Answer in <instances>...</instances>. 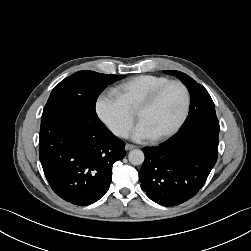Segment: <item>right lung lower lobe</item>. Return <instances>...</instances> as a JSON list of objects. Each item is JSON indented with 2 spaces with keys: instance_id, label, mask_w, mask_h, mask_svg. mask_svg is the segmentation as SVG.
<instances>
[{
  "instance_id": "1",
  "label": "right lung lower lobe",
  "mask_w": 251,
  "mask_h": 251,
  "mask_svg": "<svg viewBox=\"0 0 251 251\" xmlns=\"http://www.w3.org/2000/svg\"><path fill=\"white\" fill-rule=\"evenodd\" d=\"M125 143L97 115L66 108L41 117L39 158L53 191L75 205L99 200L109 189L113 164Z\"/></svg>"
}]
</instances>
